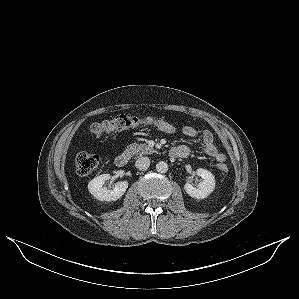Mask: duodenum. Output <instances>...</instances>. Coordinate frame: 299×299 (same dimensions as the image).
Segmentation results:
<instances>
[{"mask_svg":"<svg viewBox=\"0 0 299 299\" xmlns=\"http://www.w3.org/2000/svg\"><path fill=\"white\" fill-rule=\"evenodd\" d=\"M170 154L174 157H186L189 153L186 147H174L171 149ZM129 159L128 153L119 154L115 159V165L118 168H124L127 166Z\"/></svg>","mask_w":299,"mask_h":299,"instance_id":"duodenum-1","label":"duodenum"}]
</instances>
